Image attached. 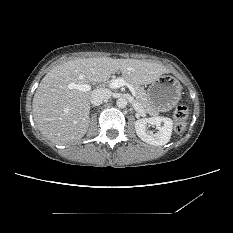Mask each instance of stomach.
Wrapping results in <instances>:
<instances>
[{"mask_svg": "<svg viewBox=\"0 0 233 233\" xmlns=\"http://www.w3.org/2000/svg\"><path fill=\"white\" fill-rule=\"evenodd\" d=\"M182 86L171 75H161L150 83L147 89V98L150 105L156 111H169L179 102Z\"/></svg>", "mask_w": 233, "mask_h": 233, "instance_id": "stomach-1", "label": "stomach"}]
</instances>
